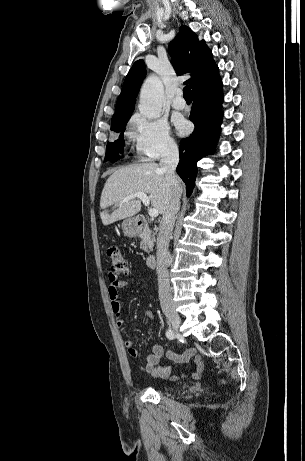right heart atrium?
<instances>
[{
	"label": "right heart atrium",
	"instance_id": "obj_1",
	"mask_svg": "<svg viewBox=\"0 0 305 461\" xmlns=\"http://www.w3.org/2000/svg\"><path fill=\"white\" fill-rule=\"evenodd\" d=\"M130 138L141 160H156L176 151L177 144L165 120L136 114L130 120Z\"/></svg>",
	"mask_w": 305,
	"mask_h": 461
}]
</instances>
